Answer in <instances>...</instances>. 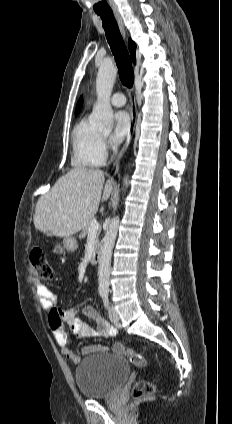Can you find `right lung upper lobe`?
I'll list each match as a JSON object with an SVG mask.
<instances>
[{
  "instance_id": "1",
  "label": "right lung upper lobe",
  "mask_w": 232,
  "mask_h": 424,
  "mask_svg": "<svg viewBox=\"0 0 232 424\" xmlns=\"http://www.w3.org/2000/svg\"><path fill=\"white\" fill-rule=\"evenodd\" d=\"M128 45H129V50H130V54H131L132 60H133V62L135 64V62H136V58H135L136 44L131 39H129ZM82 106H83V99L81 97L79 99L78 104H77V107H76V111H75V114L76 115L81 111Z\"/></svg>"
}]
</instances>
